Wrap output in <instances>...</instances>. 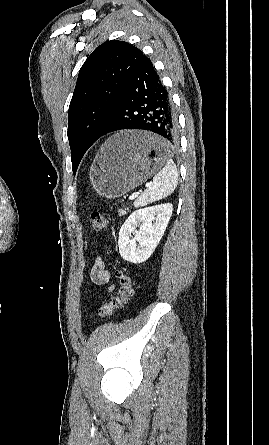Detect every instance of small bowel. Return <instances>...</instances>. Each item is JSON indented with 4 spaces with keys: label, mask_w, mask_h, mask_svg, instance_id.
I'll use <instances>...</instances> for the list:
<instances>
[{
    "label": "small bowel",
    "mask_w": 269,
    "mask_h": 445,
    "mask_svg": "<svg viewBox=\"0 0 269 445\" xmlns=\"http://www.w3.org/2000/svg\"><path fill=\"white\" fill-rule=\"evenodd\" d=\"M90 278L91 281L96 285H104L110 281L111 273L106 268L105 263L101 257H97L95 259L90 271ZM113 288L114 286L111 285L108 288V291H112Z\"/></svg>",
    "instance_id": "1"
}]
</instances>
